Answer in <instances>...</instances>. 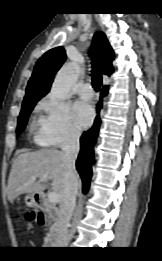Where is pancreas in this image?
I'll list each match as a JSON object with an SVG mask.
<instances>
[{
  "instance_id": "pancreas-1",
  "label": "pancreas",
  "mask_w": 162,
  "mask_h": 261,
  "mask_svg": "<svg viewBox=\"0 0 162 261\" xmlns=\"http://www.w3.org/2000/svg\"><path fill=\"white\" fill-rule=\"evenodd\" d=\"M45 210H46V212L51 213L48 204L45 205ZM54 221H55L54 225L50 228V231H49V233L47 234V237H48L49 239H53L54 237L57 236V219L54 218Z\"/></svg>"
}]
</instances>
